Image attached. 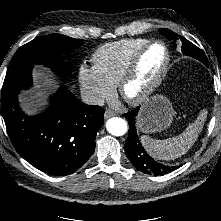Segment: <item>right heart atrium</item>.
Instances as JSON below:
<instances>
[{"instance_id":"1","label":"right heart atrium","mask_w":221,"mask_h":221,"mask_svg":"<svg viewBox=\"0 0 221 221\" xmlns=\"http://www.w3.org/2000/svg\"><path fill=\"white\" fill-rule=\"evenodd\" d=\"M78 83L86 101L101 104L112 96L114 86L108 83L94 66L81 64L78 69Z\"/></svg>"}]
</instances>
